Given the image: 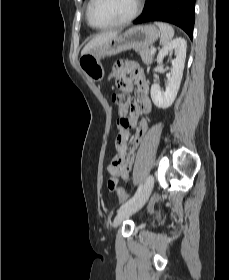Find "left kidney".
Listing matches in <instances>:
<instances>
[{"label":"left kidney","mask_w":229,"mask_h":280,"mask_svg":"<svg viewBox=\"0 0 229 280\" xmlns=\"http://www.w3.org/2000/svg\"><path fill=\"white\" fill-rule=\"evenodd\" d=\"M187 43L183 38H176L163 47L157 56V62L161 63L165 56L175 51L176 58L172 61L171 72L167 74L165 91H161L158 84L151 86V98L153 103L162 109H166L174 102L183 76L186 58Z\"/></svg>","instance_id":"1"}]
</instances>
